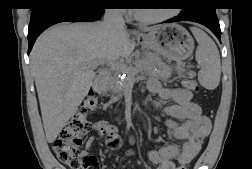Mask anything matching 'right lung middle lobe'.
I'll return each instance as SVG.
<instances>
[{"label": "right lung middle lobe", "mask_w": 252, "mask_h": 169, "mask_svg": "<svg viewBox=\"0 0 252 169\" xmlns=\"http://www.w3.org/2000/svg\"><path fill=\"white\" fill-rule=\"evenodd\" d=\"M90 3H95V4H105L107 0H85ZM43 2V0H38V3Z\"/></svg>", "instance_id": "dd1d6c3e"}]
</instances>
